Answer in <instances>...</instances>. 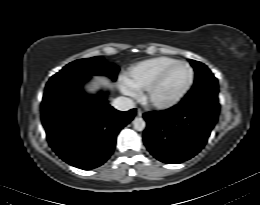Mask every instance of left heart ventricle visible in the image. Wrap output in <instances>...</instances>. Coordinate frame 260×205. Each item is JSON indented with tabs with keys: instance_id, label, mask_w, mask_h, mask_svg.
<instances>
[{
	"instance_id": "left-heart-ventricle-1",
	"label": "left heart ventricle",
	"mask_w": 260,
	"mask_h": 205,
	"mask_svg": "<svg viewBox=\"0 0 260 205\" xmlns=\"http://www.w3.org/2000/svg\"><path fill=\"white\" fill-rule=\"evenodd\" d=\"M191 73L187 66L176 65L165 75L153 90L151 97L156 101H167L179 95L190 81Z\"/></svg>"
}]
</instances>
